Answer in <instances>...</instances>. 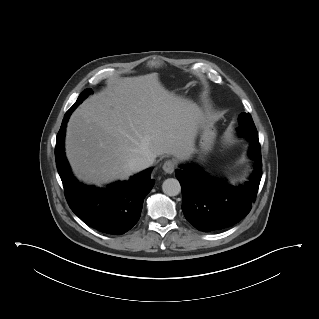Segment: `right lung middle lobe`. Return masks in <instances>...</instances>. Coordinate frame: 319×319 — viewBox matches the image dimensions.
<instances>
[{"instance_id":"dd1d6c3e","label":"right lung middle lobe","mask_w":319,"mask_h":319,"mask_svg":"<svg viewBox=\"0 0 319 319\" xmlns=\"http://www.w3.org/2000/svg\"><path fill=\"white\" fill-rule=\"evenodd\" d=\"M91 93H93V91H92L90 88L84 90V91L80 94V96L78 97V99H77L75 105H79V104H80L88 95H90Z\"/></svg>"}]
</instances>
